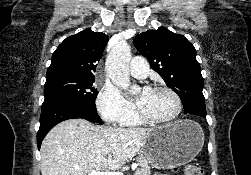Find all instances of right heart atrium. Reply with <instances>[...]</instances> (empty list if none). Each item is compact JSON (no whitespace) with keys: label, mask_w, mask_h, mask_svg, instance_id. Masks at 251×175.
Segmentation results:
<instances>
[{"label":"right heart atrium","mask_w":251,"mask_h":175,"mask_svg":"<svg viewBox=\"0 0 251 175\" xmlns=\"http://www.w3.org/2000/svg\"><path fill=\"white\" fill-rule=\"evenodd\" d=\"M96 108L103 120L113 124H124L137 115L135 107L123 98L116 86L109 83L100 89Z\"/></svg>","instance_id":"right-heart-atrium-1"}]
</instances>
